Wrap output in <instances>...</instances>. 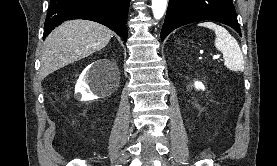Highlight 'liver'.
Here are the masks:
<instances>
[{"label": "liver", "mask_w": 277, "mask_h": 166, "mask_svg": "<svg viewBox=\"0 0 277 166\" xmlns=\"http://www.w3.org/2000/svg\"><path fill=\"white\" fill-rule=\"evenodd\" d=\"M113 33L107 27L86 20L67 21L46 38L41 53V79L107 46Z\"/></svg>", "instance_id": "obj_1"}]
</instances>
